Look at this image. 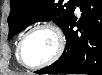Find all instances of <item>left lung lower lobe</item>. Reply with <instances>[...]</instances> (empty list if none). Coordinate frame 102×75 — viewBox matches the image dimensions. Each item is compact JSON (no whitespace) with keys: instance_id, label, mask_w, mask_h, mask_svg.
<instances>
[{"instance_id":"left-lung-lower-lobe-1","label":"left lung lower lobe","mask_w":102,"mask_h":75,"mask_svg":"<svg viewBox=\"0 0 102 75\" xmlns=\"http://www.w3.org/2000/svg\"><path fill=\"white\" fill-rule=\"evenodd\" d=\"M77 7L80 20L72 14L62 27L67 40L62 56L35 73L102 75V0H80Z\"/></svg>"}]
</instances>
